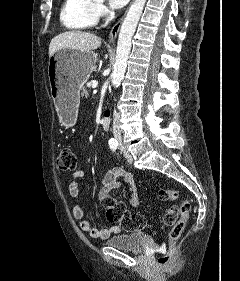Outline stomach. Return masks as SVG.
<instances>
[{
  "label": "stomach",
  "mask_w": 240,
  "mask_h": 281,
  "mask_svg": "<svg viewBox=\"0 0 240 281\" xmlns=\"http://www.w3.org/2000/svg\"><path fill=\"white\" fill-rule=\"evenodd\" d=\"M97 54L93 51L60 49L49 57L50 94L65 125L75 123L80 90L94 70Z\"/></svg>",
  "instance_id": "obj_1"
}]
</instances>
